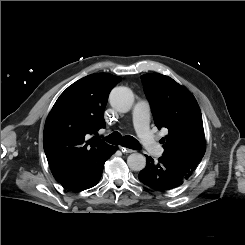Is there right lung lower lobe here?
Returning a JSON list of instances; mask_svg holds the SVG:
<instances>
[{
    "label": "right lung lower lobe",
    "instance_id": "1",
    "mask_svg": "<svg viewBox=\"0 0 245 245\" xmlns=\"http://www.w3.org/2000/svg\"><path fill=\"white\" fill-rule=\"evenodd\" d=\"M116 150L117 147L113 146L104 155L90 159L59 183L72 191H82L95 186L101 178L105 162Z\"/></svg>",
    "mask_w": 245,
    "mask_h": 245
}]
</instances>
